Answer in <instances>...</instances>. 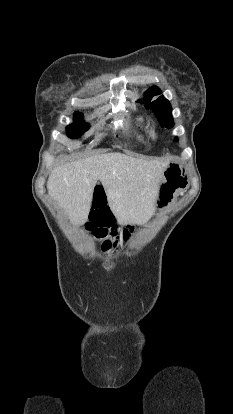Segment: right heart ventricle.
I'll use <instances>...</instances> for the list:
<instances>
[{"instance_id": "obj_1", "label": "right heart ventricle", "mask_w": 233, "mask_h": 414, "mask_svg": "<svg viewBox=\"0 0 233 414\" xmlns=\"http://www.w3.org/2000/svg\"><path fill=\"white\" fill-rule=\"evenodd\" d=\"M126 132H137L145 134L148 131V124L145 118L138 114H130L126 117Z\"/></svg>"}]
</instances>
